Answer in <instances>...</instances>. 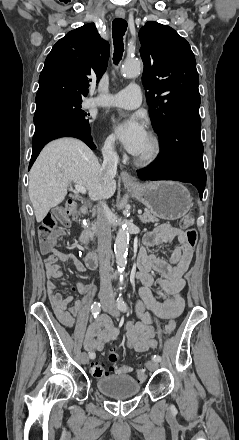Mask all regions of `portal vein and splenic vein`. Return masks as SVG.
<instances>
[{
	"mask_svg": "<svg viewBox=\"0 0 239 440\" xmlns=\"http://www.w3.org/2000/svg\"><path fill=\"white\" fill-rule=\"evenodd\" d=\"M75 190L81 192V194H86V188H83V186H75ZM137 212L139 215H142V209H139Z\"/></svg>",
	"mask_w": 239,
	"mask_h": 440,
	"instance_id": "1",
	"label": "portal vein and splenic vein"
}]
</instances>
